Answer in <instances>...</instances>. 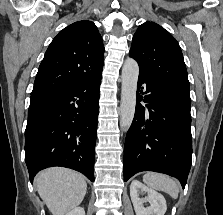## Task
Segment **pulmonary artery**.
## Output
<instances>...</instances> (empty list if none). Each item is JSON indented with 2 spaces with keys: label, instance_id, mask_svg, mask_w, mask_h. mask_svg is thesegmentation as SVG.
I'll return each mask as SVG.
<instances>
[{
  "label": "pulmonary artery",
  "instance_id": "pulmonary-artery-1",
  "mask_svg": "<svg viewBox=\"0 0 223 215\" xmlns=\"http://www.w3.org/2000/svg\"><path fill=\"white\" fill-rule=\"evenodd\" d=\"M140 86L142 87V89H145V87L147 86V83L146 82H141Z\"/></svg>",
  "mask_w": 223,
  "mask_h": 215
}]
</instances>
